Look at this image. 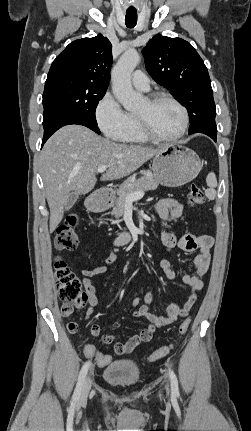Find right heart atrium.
Masks as SVG:
<instances>
[{"label": "right heart atrium", "mask_w": 251, "mask_h": 431, "mask_svg": "<svg viewBox=\"0 0 251 431\" xmlns=\"http://www.w3.org/2000/svg\"><path fill=\"white\" fill-rule=\"evenodd\" d=\"M95 119L101 131L112 139H120L131 122L130 115L110 92H106L97 102Z\"/></svg>", "instance_id": "obj_1"}]
</instances>
